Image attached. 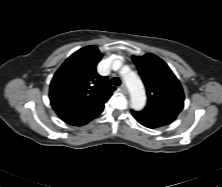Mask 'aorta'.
Segmentation results:
<instances>
[{
	"instance_id": "obj_1",
	"label": "aorta",
	"mask_w": 222,
	"mask_h": 187,
	"mask_svg": "<svg viewBox=\"0 0 222 187\" xmlns=\"http://www.w3.org/2000/svg\"><path fill=\"white\" fill-rule=\"evenodd\" d=\"M123 78L130 93L131 107L136 111L142 110L146 104L142 81L134 72L125 74Z\"/></svg>"
}]
</instances>
